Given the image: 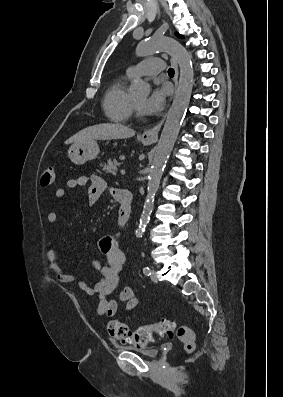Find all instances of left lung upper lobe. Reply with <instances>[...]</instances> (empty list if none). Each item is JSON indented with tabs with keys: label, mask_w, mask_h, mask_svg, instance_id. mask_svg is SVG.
I'll list each match as a JSON object with an SVG mask.
<instances>
[{
	"label": "left lung upper lobe",
	"mask_w": 283,
	"mask_h": 397,
	"mask_svg": "<svg viewBox=\"0 0 283 397\" xmlns=\"http://www.w3.org/2000/svg\"><path fill=\"white\" fill-rule=\"evenodd\" d=\"M177 36L182 37L181 35L177 34Z\"/></svg>",
	"instance_id": "obj_1"
}]
</instances>
